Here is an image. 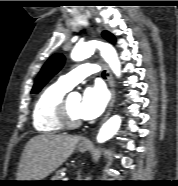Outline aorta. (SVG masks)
Returning a JSON list of instances; mask_svg holds the SVG:
<instances>
[{
	"mask_svg": "<svg viewBox=\"0 0 178 186\" xmlns=\"http://www.w3.org/2000/svg\"><path fill=\"white\" fill-rule=\"evenodd\" d=\"M96 48L100 50L101 56L109 64L113 73L119 77L121 75V64L116 50L108 43L92 40L83 44H78L72 50L71 58L74 61H82L90 57ZM120 125L121 117L118 115L112 116L100 128L97 135V142L103 143L109 140L119 130Z\"/></svg>",
	"mask_w": 178,
	"mask_h": 186,
	"instance_id": "obj_1",
	"label": "aorta"
}]
</instances>
